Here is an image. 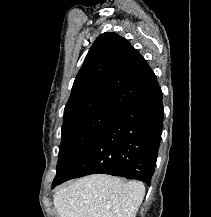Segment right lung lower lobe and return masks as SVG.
<instances>
[{"instance_id":"98d812e1","label":"right lung lower lobe","mask_w":211,"mask_h":217,"mask_svg":"<svg viewBox=\"0 0 211 217\" xmlns=\"http://www.w3.org/2000/svg\"><path fill=\"white\" fill-rule=\"evenodd\" d=\"M159 84L125 106L52 188L89 174L137 179L148 186L158 155L163 123Z\"/></svg>"}]
</instances>
